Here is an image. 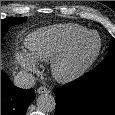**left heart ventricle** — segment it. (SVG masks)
Masks as SVG:
<instances>
[{
  "label": "left heart ventricle",
  "mask_w": 115,
  "mask_h": 115,
  "mask_svg": "<svg viewBox=\"0 0 115 115\" xmlns=\"http://www.w3.org/2000/svg\"><path fill=\"white\" fill-rule=\"evenodd\" d=\"M97 46V39L95 36L88 37L80 46V53L86 55L95 50Z\"/></svg>",
  "instance_id": "left-heart-ventricle-1"
}]
</instances>
